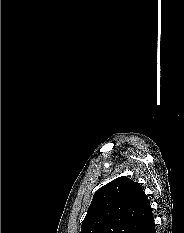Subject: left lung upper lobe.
I'll list each match as a JSON object with an SVG mask.
<instances>
[{
  "mask_svg": "<svg viewBox=\"0 0 184 233\" xmlns=\"http://www.w3.org/2000/svg\"><path fill=\"white\" fill-rule=\"evenodd\" d=\"M151 214L141 186L119 177L95 192L81 233H143Z\"/></svg>",
  "mask_w": 184,
  "mask_h": 233,
  "instance_id": "1",
  "label": "left lung upper lobe"
}]
</instances>
